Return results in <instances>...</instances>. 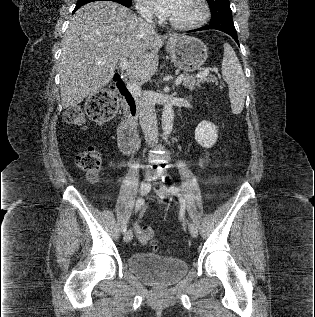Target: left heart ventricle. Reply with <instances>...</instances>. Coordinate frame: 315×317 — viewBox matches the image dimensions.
Listing matches in <instances>:
<instances>
[{
  "label": "left heart ventricle",
  "instance_id": "obj_1",
  "mask_svg": "<svg viewBox=\"0 0 315 317\" xmlns=\"http://www.w3.org/2000/svg\"><path fill=\"white\" fill-rule=\"evenodd\" d=\"M200 14L201 7L198 0H180L171 19L179 23H188L198 19Z\"/></svg>",
  "mask_w": 315,
  "mask_h": 317
}]
</instances>
